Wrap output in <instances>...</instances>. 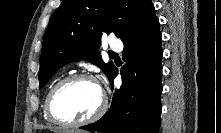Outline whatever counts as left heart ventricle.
Here are the masks:
<instances>
[{"instance_id":"left-heart-ventricle-1","label":"left heart ventricle","mask_w":221,"mask_h":133,"mask_svg":"<svg viewBox=\"0 0 221 133\" xmlns=\"http://www.w3.org/2000/svg\"><path fill=\"white\" fill-rule=\"evenodd\" d=\"M101 100L99 87L91 81L76 80L60 87L51 102L52 111L59 120L79 121L90 116Z\"/></svg>"}]
</instances>
